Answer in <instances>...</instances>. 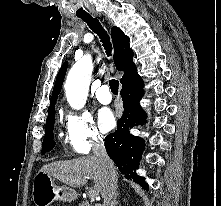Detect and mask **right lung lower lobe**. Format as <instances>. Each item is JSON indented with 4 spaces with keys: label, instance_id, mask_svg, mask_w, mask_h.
Masks as SVG:
<instances>
[{
    "label": "right lung lower lobe",
    "instance_id": "98d812e1",
    "mask_svg": "<svg viewBox=\"0 0 221 206\" xmlns=\"http://www.w3.org/2000/svg\"><path fill=\"white\" fill-rule=\"evenodd\" d=\"M143 80L138 73L133 74L122 83L120 92L124 113L117 122V130L105 138V148L108 156L116 163L120 172L148 190L145 179L138 176L136 170L144 150V141L130 134V129L145 120L144 112L139 104L143 96Z\"/></svg>",
    "mask_w": 221,
    "mask_h": 206
}]
</instances>
